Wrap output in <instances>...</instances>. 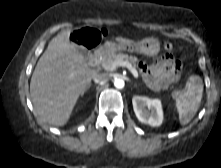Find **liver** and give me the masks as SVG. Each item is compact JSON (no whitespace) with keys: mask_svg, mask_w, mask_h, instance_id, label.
<instances>
[{"mask_svg":"<svg viewBox=\"0 0 221 168\" xmlns=\"http://www.w3.org/2000/svg\"><path fill=\"white\" fill-rule=\"evenodd\" d=\"M66 30L54 37L37 62L30 82V95L35 111L54 126L65 125L80 96L89 88L97 72L90 69L79 54ZM120 44L133 41L117 37Z\"/></svg>","mask_w":221,"mask_h":168,"instance_id":"6515ba94","label":"liver"}]
</instances>
